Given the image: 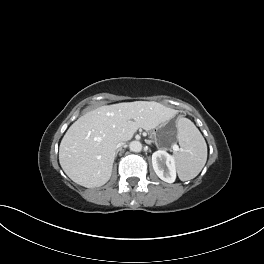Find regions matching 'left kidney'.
Segmentation results:
<instances>
[{"label": "left kidney", "instance_id": "5707ae66", "mask_svg": "<svg viewBox=\"0 0 264 264\" xmlns=\"http://www.w3.org/2000/svg\"><path fill=\"white\" fill-rule=\"evenodd\" d=\"M152 165L155 173L161 180L167 183L175 181V158L165 150H158L152 154Z\"/></svg>", "mask_w": 264, "mask_h": 264}]
</instances>
